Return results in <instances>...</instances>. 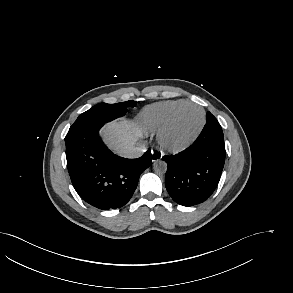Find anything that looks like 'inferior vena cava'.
Instances as JSON below:
<instances>
[{"label":"inferior vena cava","instance_id":"1","mask_svg":"<svg viewBox=\"0 0 293 293\" xmlns=\"http://www.w3.org/2000/svg\"><path fill=\"white\" fill-rule=\"evenodd\" d=\"M144 152L145 147L142 144L137 143L124 149L122 152V156L126 158H138L141 157Z\"/></svg>","mask_w":293,"mask_h":293}]
</instances>
